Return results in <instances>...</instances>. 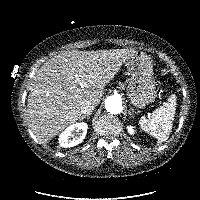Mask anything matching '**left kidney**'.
<instances>
[{"instance_id": "1", "label": "left kidney", "mask_w": 200, "mask_h": 200, "mask_svg": "<svg viewBox=\"0 0 200 200\" xmlns=\"http://www.w3.org/2000/svg\"><path fill=\"white\" fill-rule=\"evenodd\" d=\"M127 131L130 135H134L136 133V130H135V126H132V125H128L127 126Z\"/></svg>"}]
</instances>
